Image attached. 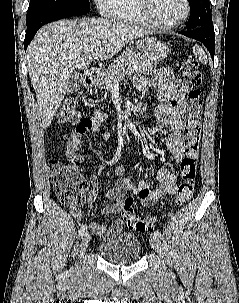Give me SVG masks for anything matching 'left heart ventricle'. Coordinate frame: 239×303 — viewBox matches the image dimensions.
<instances>
[{"label":"left heart ventricle","instance_id":"obj_1","mask_svg":"<svg viewBox=\"0 0 239 303\" xmlns=\"http://www.w3.org/2000/svg\"><path fill=\"white\" fill-rule=\"evenodd\" d=\"M183 0H152L150 15L152 19L161 24L178 21L184 15Z\"/></svg>","mask_w":239,"mask_h":303}]
</instances>
